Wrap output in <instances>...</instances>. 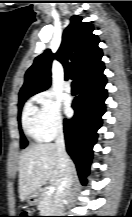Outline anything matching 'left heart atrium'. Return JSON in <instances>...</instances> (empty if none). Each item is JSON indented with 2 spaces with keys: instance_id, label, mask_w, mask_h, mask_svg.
Wrapping results in <instances>:
<instances>
[{
  "instance_id": "left-heart-atrium-1",
  "label": "left heart atrium",
  "mask_w": 132,
  "mask_h": 217,
  "mask_svg": "<svg viewBox=\"0 0 132 217\" xmlns=\"http://www.w3.org/2000/svg\"><path fill=\"white\" fill-rule=\"evenodd\" d=\"M65 110L68 112V111H70V103H69V101H66L65 102Z\"/></svg>"
}]
</instances>
